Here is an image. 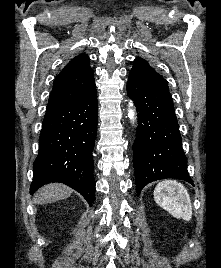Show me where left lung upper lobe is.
Segmentation results:
<instances>
[{
    "instance_id": "obj_1",
    "label": "left lung upper lobe",
    "mask_w": 221,
    "mask_h": 268,
    "mask_svg": "<svg viewBox=\"0 0 221 268\" xmlns=\"http://www.w3.org/2000/svg\"><path fill=\"white\" fill-rule=\"evenodd\" d=\"M129 78L149 86L168 89L166 80L142 58L135 59Z\"/></svg>"
}]
</instances>
